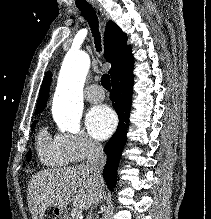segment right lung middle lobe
Masks as SVG:
<instances>
[{
    "label": "right lung middle lobe",
    "instance_id": "1",
    "mask_svg": "<svg viewBox=\"0 0 211 219\" xmlns=\"http://www.w3.org/2000/svg\"><path fill=\"white\" fill-rule=\"evenodd\" d=\"M36 114H39V113H36ZM35 124H36V121L33 123L31 130H33ZM30 159H31V152H29L27 160L30 161Z\"/></svg>",
    "mask_w": 211,
    "mask_h": 219
}]
</instances>
